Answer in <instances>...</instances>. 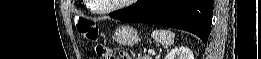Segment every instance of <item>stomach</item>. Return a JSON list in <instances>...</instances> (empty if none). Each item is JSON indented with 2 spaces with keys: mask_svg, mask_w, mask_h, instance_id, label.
<instances>
[{
  "mask_svg": "<svg viewBox=\"0 0 261 59\" xmlns=\"http://www.w3.org/2000/svg\"><path fill=\"white\" fill-rule=\"evenodd\" d=\"M113 39L118 44L132 46L140 40V37L138 32L133 27L123 25L115 30Z\"/></svg>",
  "mask_w": 261,
  "mask_h": 59,
  "instance_id": "stomach-1",
  "label": "stomach"
}]
</instances>
